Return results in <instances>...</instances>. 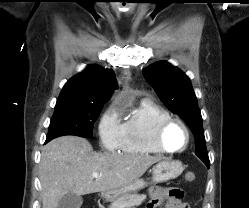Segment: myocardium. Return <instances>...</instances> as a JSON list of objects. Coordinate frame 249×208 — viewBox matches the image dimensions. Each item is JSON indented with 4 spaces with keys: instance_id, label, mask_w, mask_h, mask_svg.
<instances>
[{
    "instance_id": "1",
    "label": "myocardium",
    "mask_w": 249,
    "mask_h": 208,
    "mask_svg": "<svg viewBox=\"0 0 249 208\" xmlns=\"http://www.w3.org/2000/svg\"><path fill=\"white\" fill-rule=\"evenodd\" d=\"M172 124H179L184 129L185 134H186V142H185L184 146L180 149H170V148L166 147V145L164 144V140H163L164 133L167 130V128L169 126H171ZM153 140H154L155 146L161 152L172 153V154L181 153V152H184L188 148V146L190 144V140H191V133H190L189 127L187 126V124L183 120L176 118V117H168V118L162 120L157 125L155 132H154Z\"/></svg>"
}]
</instances>
